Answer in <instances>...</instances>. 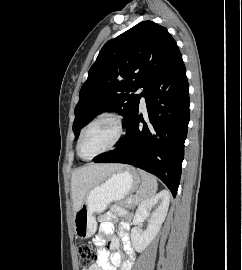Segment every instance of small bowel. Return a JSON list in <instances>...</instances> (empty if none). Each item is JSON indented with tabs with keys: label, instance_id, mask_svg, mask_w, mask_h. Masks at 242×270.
Segmentation results:
<instances>
[{
	"label": "small bowel",
	"instance_id": "small-bowel-1",
	"mask_svg": "<svg viewBox=\"0 0 242 270\" xmlns=\"http://www.w3.org/2000/svg\"><path fill=\"white\" fill-rule=\"evenodd\" d=\"M121 218L118 224L119 237L114 235V223ZM131 216L120 209L107 213L101 220L100 233L93 238V244L97 248L98 260L83 270H117L123 262L124 256L118 251L119 238L123 241L125 250L132 256V248L129 240ZM132 262H126L124 268L129 270Z\"/></svg>",
	"mask_w": 242,
	"mask_h": 270
}]
</instances>
